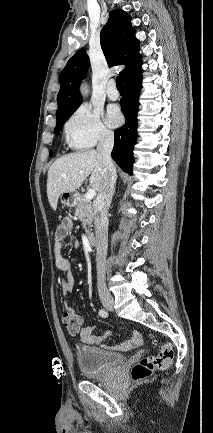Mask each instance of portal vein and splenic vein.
<instances>
[{
    "label": "portal vein and splenic vein",
    "mask_w": 213,
    "mask_h": 433,
    "mask_svg": "<svg viewBox=\"0 0 213 433\" xmlns=\"http://www.w3.org/2000/svg\"><path fill=\"white\" fill-rule=\"evenodd\" d=\"M63 177H66V175H63ZM96 195V192L94 189H89L85 195L86 200L90 201L94 198Z\"/></svg>",
    "instance_id": "portal-vein-and-splenic-vein-1"
}]
</instances>
